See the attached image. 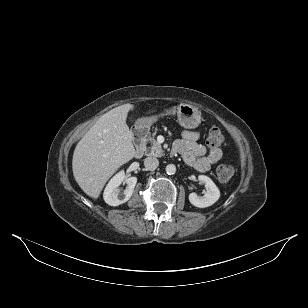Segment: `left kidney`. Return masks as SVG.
Here are the masks:
<instances>
[{"label":"left kidney","mask_w":308,"mask_h":308,"mask_svg":"<svg viewBox=\"0 0 308 308\" xmlns=\"http://www.w3.org/2000/svg\"><path fill=\"white\" fill-rule=\"evenodd\" d=\"M199 181L205 184L206 191L204 196H198L196 193L189 194V201L198 208H205L213 205L220 197V191L215 183L205 175L198 176Z\"/></svg>","instance_id":"1"}]
</instances>
